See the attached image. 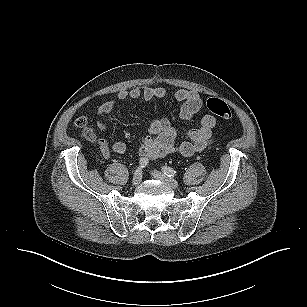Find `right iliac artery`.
<instances>
[{
	"mask_svg": "<svg viewBox=\"0 0 307 307\" xmlns=\"http://www.w3.org/2000/svg\"><path fill=\"white\" fill-rule=\"evenodd\" d=\"M148 163H149L148 159L141 158L139 160V165L142 169L145 168L148 165Z\"/></svg>",
	"mask_w": 307,
	"mask_h": 307,
	"instance_id": "obj_1",
	"label": "right iliac artery"
}]
</instances>
